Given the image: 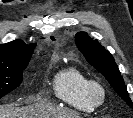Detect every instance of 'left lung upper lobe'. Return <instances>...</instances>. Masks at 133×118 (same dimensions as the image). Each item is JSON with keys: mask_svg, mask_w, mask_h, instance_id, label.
<instances>
[{"mask_svg": "<svg viewBox=\"0 0 133 118\" xmlns=\"http://www.w3.org/2000/svg\"><path fill=\"white\" fill-rule=\"evenodd\" d=\"M75 42L86 60L105 76L119 96L133 108V103L129 97L123 78L110 52L85 32L77 33Z\"/></svg>", "mask_w": 133, "mask_h": 118, "instance_id": "obj_1", "label": "left lung upper lobe"}]
</instances>
